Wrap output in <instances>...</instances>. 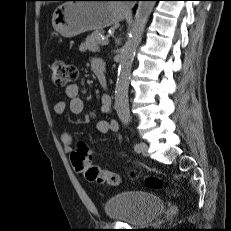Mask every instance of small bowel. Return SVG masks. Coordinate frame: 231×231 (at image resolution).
Returning <instances> with one entry per match:
<instances>
[{"label":"small bowel","instance_id":"obj_1","mask_svg":"<svg viewBox=\"0 0 231 231\" xmlns=\"http://www.w3.org/2000/svg\"><path fill=\"white\" fill-rule=\"evenodd\" d=\"M100 60L93 61V68L96 65L101 64ZM94 71V70H93ZM65 95L69 98V109L71 113L80 115L84 109V103L79 96V87L76 84H70L65 88ZM112 108V100L108 94L101 96V111L103 113H109ZM66 111V103L64 101H57L54 104V112L56 114H64ZM97 130L100 133H116L119 132V123L115 119H101L97 122ZM65 152L72 150L73 138L69 133H64L61 137Z\"/></svg>","mask_w":231,"mask_h":231}]
</instances>
